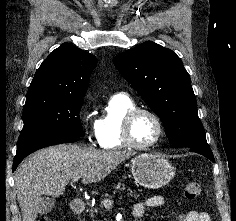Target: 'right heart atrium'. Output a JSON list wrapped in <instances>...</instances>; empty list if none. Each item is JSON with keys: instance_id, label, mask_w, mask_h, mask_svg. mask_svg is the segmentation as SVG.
<instances>
[{"instance_id": "right-heart-atrium-1", "label": "right heart atrium", "mask_w": 236, "mask_h": 221, "mask_svg": "<svg viewBox=\"0 0 236 221\" xmlns=\"http://www.w3.org/2000/svg\"><path fill=\"white\" fill-rule=\"evenodd\" d=\"M81 118L84 123L85 133L92 144L98 143L97 121L92 118V104L87 103L81 112Z\"/></svg>"}]
</instances>
